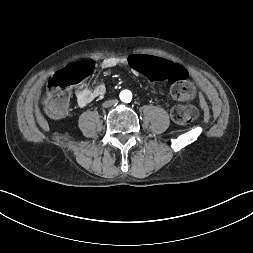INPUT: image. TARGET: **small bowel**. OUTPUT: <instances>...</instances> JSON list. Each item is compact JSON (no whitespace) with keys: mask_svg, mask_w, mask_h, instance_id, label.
<instances>
[{"mask_svg":"<svg viewBox=\"0 0 253 253\" xmlns=\"http://www.w3.org/2000/svg\"><path fill=\"white\" fill-rule=\"evenodd\" d=\"M130 57L131 56H126V57L109 56V57H105L101 61V66L104 69H110V68H114V67H117V66H128L129 67ZM148 57H150V56H148ZM162 60L168 61V60H165V59H162ZM105 92H106V88L103 84H98L93 88H87V87L79 88L75 93L77 104L80 107H85L89 103H91L94 99L103 96L105 94Z\"/></svg>","mask_w":253,"mask_h":253,"instance_id":"small-bowel-1","label":"small bowel"}]
</instances>
